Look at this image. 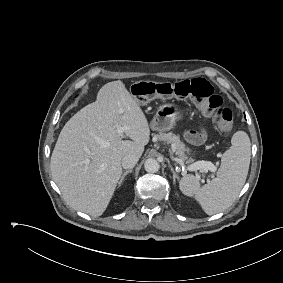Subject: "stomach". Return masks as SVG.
Segmentation results:
<instances>
[{
    "instance_id": "0dacf381",
    "label": "stomach",
    "mask_w": 283,
    "mask_h": 283,
    "mask_svg": "<svg viewBox=\"0 0 283 283\" xmlns=\"http://www.w3.org/2000/svg\"><path fill=\"white\" fill-rule=\"evenodd\" d=\"M181 110L175 104L160 106L151 121V128L155 131L165 132L171 130L178 119L181 118Z\"/></svg>"
}]
</instances>
